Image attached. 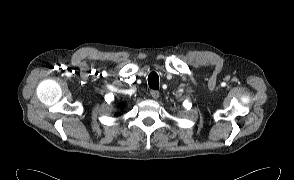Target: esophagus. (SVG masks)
Returning <instances> with one entry per match:
<instances>
[{
    "mask_svg": "<svg viewBox=\"0 0 294 180\" xmlns=\"http://www.w3.org/2000/svg\"><path fill=\"white\" fill-rule=\"evenodd\" d=\"M150 95H151L154 99H157V98H159L160 93H159V91H157V90H151V91H150Z\"/></svg>",
    "mask_w": 294,
    "mask_h": 180,
    "instance_id": "esophagus-1",
    "label": "esophagus"
}]
</instances>
